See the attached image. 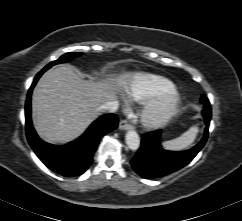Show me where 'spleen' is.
I'll list each match as a JSON object with an SVG mask.
<instances>
[{"label": "spleen", "mask_w": 242, "mask_h": 221, "mask_svg": "<svg viewBox=\"0 0 242 221\" xmlns=\"http://www.w3.org/2000/svg\"><path fill=\"white\" fill-rule=\"evenodd\" d=\"M198 133V127L192 126L188 131L183 133L180 137L173 140L165 141L163 147L171 151H180L191 145Z\"/></svg>", "instance_id": "1"}]
</instances>
